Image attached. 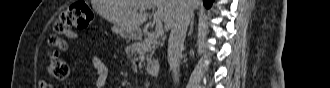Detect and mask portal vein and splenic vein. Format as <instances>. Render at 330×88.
Returning a JSON list of instances; mask_svg holds the SVG:
<instances>
[{
  "instance_id": "portal-vein-and-splenic-vein-1",
  "label": "portal vein and splenic vein",
  "mask_w": 330,
  "mask_h": 88,
  "mask_svg": "<svg viewBox=\"0 0 330 88\" xmlns=\"http://www.w3.org/2000/svg\"><path fill=\"white\" fill-rule=\"evenodd\" d=\"M164 34V30H163V25L162 23H156V27H155V36L156 37H160Z\"/></svg>"
}]
</instances>
